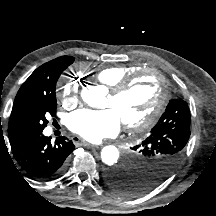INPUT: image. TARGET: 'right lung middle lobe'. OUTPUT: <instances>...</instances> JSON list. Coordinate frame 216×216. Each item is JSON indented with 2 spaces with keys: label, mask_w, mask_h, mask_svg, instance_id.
Masks as SVG:
<instances>
[{
  "label": "right lung middle lobe",
  "mask_w": 216,
  "mask_h": 216,
  "mask_svg": "<svg viewBox=\"0 0 216 216\" xmlns=\"http://www.w3.org/2000/svg\"><path fill=\"white\" fill-rule=\"evenodd\" d=\"M72 63L73 60L60 63V71L56 80L48 86L32 92L27 97L12 120L11 130L14 134L42 131L47 126L46 115L51 114L53 116L56 113V82L60 74Z\"/></svg>",
  "instance_id": "dd1d6c3e"
}]
</instances>
